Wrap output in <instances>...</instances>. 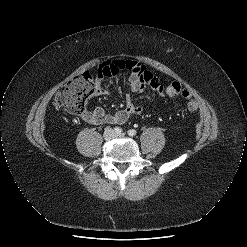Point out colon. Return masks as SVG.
Here are the masks:
<instances>
[{"label":"colon","instance_id":"1","mask_svg":"<svg viewBox=\"0 0 247 247\" xmlns=\"http://www.w3.org/2000/svg\"><path fill=\"white\" fill-rule=\"evenodd\" d=\"M95 93L91 75L86 72L70 80L55 96L54 105L72 114H82L90 97ZM165 93L171 99L183 97L187 100L188 109L192 113L198 110L196 102L192 99L187 89L177 82L170 83L165 88Z\"/></svg>","mask_w":247,"mask_h":247}]
</instances>
